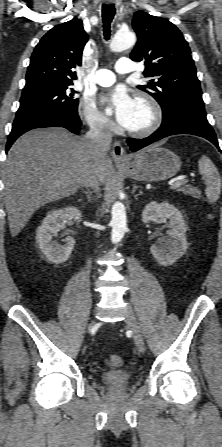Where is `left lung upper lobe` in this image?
Wrapping results in <instances>:
<instances>
[{
    "label": "left lung upper lobe",
    "mask_w": 222,
    "mask_h": 447,
    "mask_svg": "<svg viewBox=\"0 0 222 447\" xmlns=\"http://www.w3.org/2000/svg\"><path fill=\"white\" fill-rule=\"evenodd\" d=\"M132 26L138 41L130 58L144 61V74L152 78L138 88L158 101L163 116L175 108L205 114L191 51L179 29L167 19L144 11L134 14Z\"/></svg>",
    "instance_id": "left-lung-upper-lobe-1"
}]
</instances>
